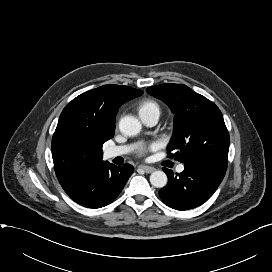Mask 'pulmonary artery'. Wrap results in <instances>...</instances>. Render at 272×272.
<instances>
[{
  "label": "pulmonary artery",
  "mask_w": 272,
  "mask_h": 272,
  "mask_svg": "<svg viewBox=\"0 0 272 272\" xmlns=\"http://www.w3.org/2000/svg\"><path fill=\"white\" fill-rule=\"evenodd\" d=\"M142 122L147 126H154L159 119L158 113H150L146 115H140ZM133 149L132 145H122V146H112L105 150L104 155L106 158H115L128 154ZM184 170V165L180 164L177 166V171L182 172Z\"/></svg>",
  "instance_id": "1"
}]
</instances>
